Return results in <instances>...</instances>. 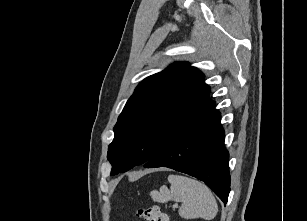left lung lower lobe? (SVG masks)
Segmentation results:
<instances>
[{
    "label": "left lung lower lobe",
    "instance_id": "obj_1",
    "mask_svg": "<svg viewBox=\"0 0 307 221\" xmlns=\"http://www.w3.org/2000/svg\"><path fill=\"white\" fill-rule=\"evenodd\" d=\"M221 115L214 106L200 119L167 142L145 168L168 167L202 180L227 203L230 192L229 153Z\"/></svg>",
    "mask_w": 307,
    "mask_h": 221
}]
</instances>
